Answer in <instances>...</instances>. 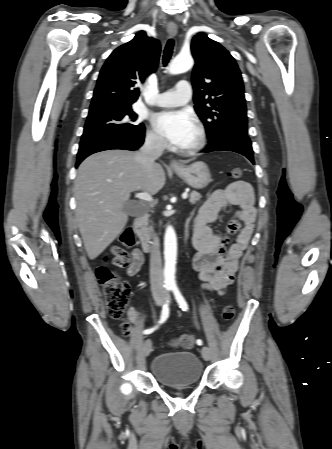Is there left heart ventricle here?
<instances>
[{
    "instance_id": "b2bd125f",
    "label": "left heart ventricle",
    "mask_w": 332,
    "mask_h": 449,
    "mask_svg": "<svg viewBox=\"0 0 332 449\" xmlns=\"http://www.w3.org/2000/svg\"><path fill=\"white\" fill-rule=\"evenodd\" d=\"M195 138H196V131H195V133L192 135V137L189 139V141L187 142V144L184 147H187V146L191 145L194 142Z\"/></svg>"
}]
</instances>
